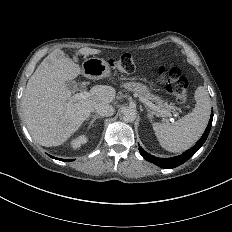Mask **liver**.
<instances>
[{
  "label": "liver",
  "mask_w": 232,
  "mask_h": 232,
  "mask_svg": "<svg viewBox=\"0 0 232 232\" xmlns=\"http://www.w3.org/2000/svg\"><path fill=\"white\" fill-rule=\"evenodd\" d=\"M101 51L84 47L79 53L85 56ZM82 73L79 65L64 56L60 49L52 51L29 78L22 108L32 138L45 147L59 146L78 130L98 103H110L116 91L107 85L90 89L91 97L71 101L66 82Z\"/></svg>",
  "instance_id": "1"
}]
</instances>
